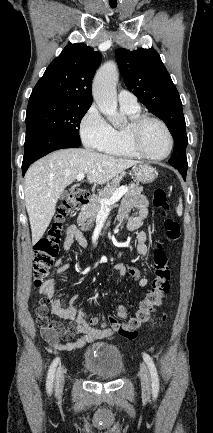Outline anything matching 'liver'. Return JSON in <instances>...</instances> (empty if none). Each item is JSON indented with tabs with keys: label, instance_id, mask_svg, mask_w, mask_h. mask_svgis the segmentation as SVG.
<instances>
[{
	"label": "liver",
	"instance_id": "1",
	"mask_svg": "<svg viewBox=\"0 0 213 433\" xmlns=\"http://www.w3.org/2000/svg\"><path fill=\"white\" fill-rule=\"evenodd\" d=\"M138 163L81 148L61 149L33 163L26 172L24 185L32 243L42 238L61 193L78 174H87L89 183L104 184Z\"/></svg>",
	"mask_w": 213,
	"mask_h": 433
}]
</instances>
